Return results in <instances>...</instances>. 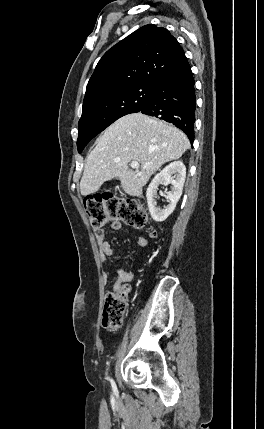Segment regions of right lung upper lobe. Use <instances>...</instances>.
Returning a JSON list of instances; mask_svg holds the SVG:
<instances>
[{"instance_id":"obj_1","label":"right lung upper lobe","mask_w":264,"mask_h":429,"mask_svg":"<svg viewBox=\"0 0 264 429\" xmlns=\"http://www.w3.org/2000/svg\"><path fill=\"white\" fill-rule=\"evenodd\" d=\"M168 30L145 25L109 49L91 76L84 103L136 84H157L183 57Z\"/></svg>"}]
</instances>
